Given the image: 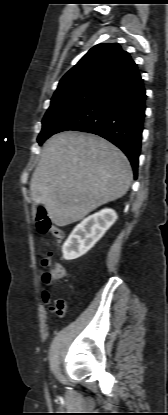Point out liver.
Instances as JSON below:
<instances>
[{
	"label": "liver",
	"instance_id": "liver-1",
	"mask_svg": "<svg viewBox=\"0 0 168 415\" xmlns=\"http://www.w3.org/2000/svg\"><path fill=\"white\" fill-rule=\"evenodd\" d=\"M133 173L124 153L89 133L63 132L45 143L30 182L31 197L63 227L126 194Z\"/></svg>",
	"mask_w": 168,
	"mask_h": 415
}]
</instances>
